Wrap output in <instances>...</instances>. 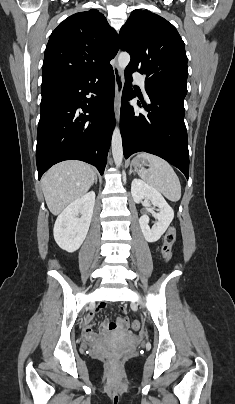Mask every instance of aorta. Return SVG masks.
I'll list each match as a JSON object with an SVG mask.
<instances>
[{
	"mask_svg": "<svg viewBox=\"0 0 235 404\" xmlns=\"http://www.w3.org/2000/svg\"><path fill=\"white\" fill-rule=\"evenodd\" d=\"M130 62V55L127 52L120 53L118 67L124 70ZM112 155L117 167H120L123 160L122 137L119 128L116 126L112 135Z\"/></svg>",
	"mask_w": 235,
	"mask_h": 404,
	"instance_id": "aorta-1",
	"label": "aorta"
}]
</instances>
